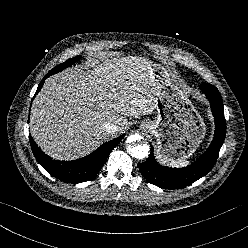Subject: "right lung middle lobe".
I'll return each instance as SVG.
<instances>
[{"label":"right lung middle lobe","instance_id":"obj_1","mask_svg":"<svg viewBox=\"0 0 248 248\" xmlns=\"http://www.w3.org/2000/svg\"><path fill=\"white\" fill-rule=\"evenodd\" d=\"M80 58H81V56H77V57H75V58H71V59L65 61L64 63L59 64L58 66L54 67V68L51 70V72L57 73V72H59V71H62L63 69H65V68L71 66L73 63L79 61Z\"/></svg>","mask_w":248,"mask_h":248}]
</instances>
